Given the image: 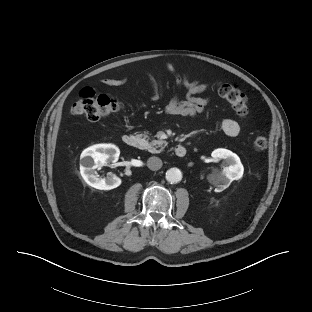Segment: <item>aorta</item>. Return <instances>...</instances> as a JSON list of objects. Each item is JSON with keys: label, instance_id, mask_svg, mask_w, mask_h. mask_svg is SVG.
<instances>
[{"label": "aorta", "instance_id": "obj_1", "mask_svg": "<svg viewBox=\"0 0 312 312\" xmlns=\"http://www.w3.org/2000/svg\"><path fill=\"white\" fill-rule=\"evenodd\" d=\"M166 180L171 184H176L182 180V172L178 168H170L166 172Z\"/></svg>", "mask_w": 312, "mask_h": 312}]
</instances>
